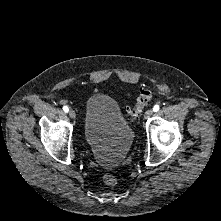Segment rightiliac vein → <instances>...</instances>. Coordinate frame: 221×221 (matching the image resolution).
Wrapping results in <instances>:
<instances>
[{"instance_id": "63e3f726", "label": "right iliac vein", "mask_w": 221, "mask_h": 221, "mask_svg": "<svg viewBox=\"0 0 221 221\" xmlns=\"http://www.w3.org/2000/svg\"><path fill=\"white\" fill-rule=\"evenodd\" d=\"M69 116H70L72 119H74V118L76 117V113H75V111H74L73 109H70V110H69Z\"/></svg>"}]
</instances>
